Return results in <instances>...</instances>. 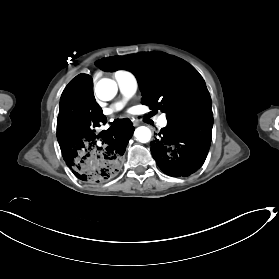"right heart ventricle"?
Instances as JSON below:
<instances>
[{
	"label": "right heart ventricle",
	"instance_id": "1",
	"mask_svg": "<svg viewBox=\"0 0 279 279\" xmlns=\"http://www.w3.org/2000/svg\"><path fill=\"white\" fill-rule=\"evenodd\" d=\"M124 72H127L128 74H130V75H132L130 72H128V71H124Z\"/></svg>",
	"mask_w": 279,
	"mask_h": 279
}]
</instances>
